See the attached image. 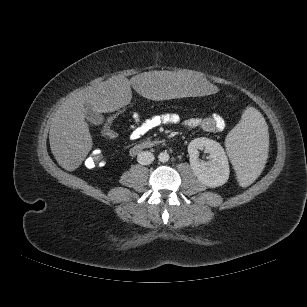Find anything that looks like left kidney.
<instances>
[{"label": "left kidney", "mask_w": 307, "mask_h": 307, "mask_svg": "<svg viewBox=\"0 0 307 307\" xmlns=\"http://www.w3.org/2000/svg\"><path fill=\"white\" fill-rule=\"evenodd\" d=\"M209 153V162H200L199 150ZM190 165L197 178L208 187L225 184L229 178V163L223 147L216 141L201 137L188 145Z\"/></svg>", "instance_id": "5707ae66"}]
</instances>
